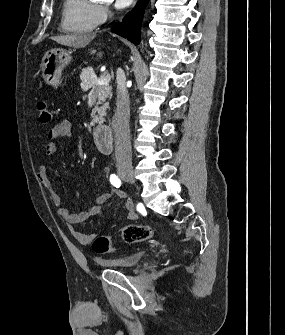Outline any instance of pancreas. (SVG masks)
<instances>
[{
	"label": "pancreas",
	"mask_w": 285,
	"mask_h": 335,
	"mask_svg": "<svg viewBox=\"0 0 285 335\" xmlns=\"http://www.w3.org/2000/svg\"><path fill=\"white\" fill-rule=\"evenodd\" d=\"M80 79L82 90L91 91L96 90V88L98 90V102L94 110H92L91 123L92 125H100L101 122H105L103 116H105L106 110L109 108V102H106V98H111L112 88H110V86H97L96 83H93L94 81H97L98 76L94 73L92 68H90V71H83ZM104 102H106V104H104ZM100 104H103V106H100Z\"/></svg>",
	"instance_id": "pancreas-1"
}]
</instances>
